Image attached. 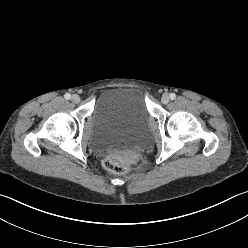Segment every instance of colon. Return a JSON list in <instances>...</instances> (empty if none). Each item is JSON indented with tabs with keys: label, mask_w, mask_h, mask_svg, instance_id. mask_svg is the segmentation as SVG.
I'll return each mask as SVG.
<instances>
[{
	"label": "colon",
	"mask_w": 248,
	"mask_h": 248,
	"mask_svg": "<svg viewBox=\"0 0 248 248\" xmlns=\"http://www.w3.org/2000/svg\"><path fill=\"white\" fill-rule=\"evenodd\" d=\"M103 165L106 170L114 174H124L128 171V167L113 156H107L103 161Z\"/></svg>",
	"instance_id": "obj_1"
}]
</instances>
